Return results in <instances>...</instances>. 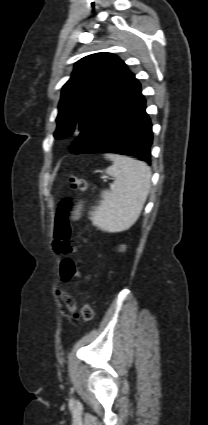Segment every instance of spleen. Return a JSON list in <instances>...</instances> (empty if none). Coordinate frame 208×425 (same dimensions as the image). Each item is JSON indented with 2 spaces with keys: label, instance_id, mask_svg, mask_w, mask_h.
I'll return each mask as SVG.
<instances>
[{
  "label": "spleen",
  "instance_id": "spleen-1",
  "mask_svg": "<svg viewBox=\"0 0 208 425\" xmlns=\"http://www.w3.org/2000/svg\"><path fill=\"white\" fill-rule=\"evenodd\" d=\"M113 164L105 173L114 177L109 190L92 212L93 225L107 232L130 228L139 218L151 187V170L146 163L130 157L106 154Z\"/></svg>",
  "mask_w": 208,
  "mask_h": 425
}]
</instances>
